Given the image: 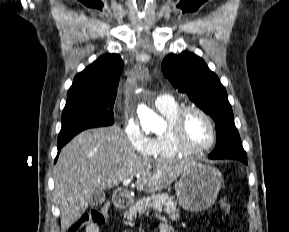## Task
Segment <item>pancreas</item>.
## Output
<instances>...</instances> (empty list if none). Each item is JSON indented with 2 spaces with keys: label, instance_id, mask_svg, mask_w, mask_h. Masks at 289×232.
Segmentation results:
<instances>
[{
  "label": "pancreas",
  "instance_id": "cf45deb5",
  "mask_svg": "<svg viewBox=\"0 0 289 232\" xmlns=\"http://www.w3.org/2000/svg\"><path fill=\"white\" fill-rule=\"evenodd\" d=\"M149 209H153L159 213L164 212L169 215L171 220H177L180 217L175 199L166 194H153L137 201L125 211V217L128 221H132L138 215L147 213Z\"/></svg>",
  "mask_w": 289,
  "mask_h": 232
}]
</instances>
